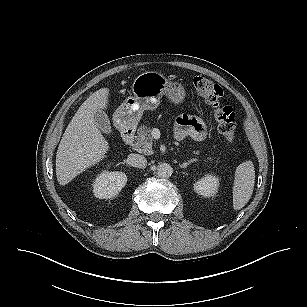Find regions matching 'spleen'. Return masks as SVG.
I'll use <instances>...</instances> for the list:
<instances>
[{
  "mask_svg": "<svg viewBox=\"0 0 307 307\" xmlns=\"http://www.w3.org/2000/svg\"><path fill=\"white\" fill-rule=\"evenodd\" d=\"M255 183V170L252 161L241 163L235 171L233 185V208L240 210L243 208L253 193Z\"/></svg>",
  "mask_w": 307,
  "mask_h": 307,
  "instance_id": "1",
  "label": "spleen"
}]
</instances>
